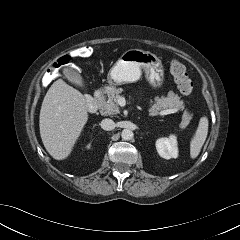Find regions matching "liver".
I'll return each instance as SVG.
<instances>
[{
  "instance_id": "liver-1",
  "label": "liver",
  "mask_w": 240,
  "mask_h": 240,
  "mask_svg": "<svg viewBox=\"0 0 240 240\" xmlns=\"http://www.w3.org/2000/svg\"><path fill=\"white\" fill-rule=\"evenodd\" d=\"M88 121L85 97L62 79L56 80L42 102L39 127L47 152L66 159Z\"/></svg>"
}]
</instances>
